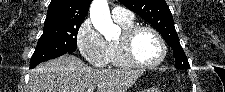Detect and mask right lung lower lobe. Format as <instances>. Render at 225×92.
<instances>
[{
    "mask_svg": "<svg viewBox=\"0 0 225 92\" xmlns=\"http://www.w3.org/2000/svg\"><path fill=\"white\" fill-rule=\"evenodd\" d=\"M39 63H41V62H39ZM39 63L30 64V68H31V69L34 68V67L37 66Z\"/></svg>",
    "mask_w": 225,
    "mask_h": 92,
    "instance_id": "obj_1",
    "label": "right lung lower lobe"
}]
</instances>
